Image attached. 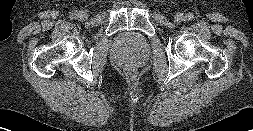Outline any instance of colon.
<instances>
[{
    "label": "colon",
    "instance_id": "obj_1",
    "mask_svg": "<svg viewBox=\"0 0 253 131\" xmlns=\"http://www.w3.org/2000/svg\"><path fill=\"white\" fill-rule=\"evenodd\" d=\"M128 74L129 75H133V71L132 70H128Z\"/></svg>",
    "mask_w": 253,
    "mask_h": 131
}]
</instances>
